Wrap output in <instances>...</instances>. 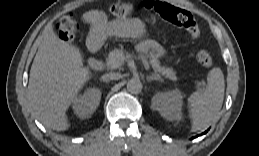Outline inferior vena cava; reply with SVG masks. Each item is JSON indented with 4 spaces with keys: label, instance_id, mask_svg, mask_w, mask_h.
Listing matches in <instances>:
<instances>
[{
    "label": "inferior vena cava",
    "instance_id": "1",
    "mask_svg": "<svg viewBox=\"0 0 259 156\" xmlns=\"http://www.w3.org/2000/svg\"><path fill=\"white\" fill-rule=\"evenodd\" d=\"M121 78V74L119 73H116V72H110V73H107V74H104L102 76V79L103 80H106V81H110V80H118Z\"/></svg>",
    "mask_w": 259,
    "mask_h": 156
}]
</instances>
